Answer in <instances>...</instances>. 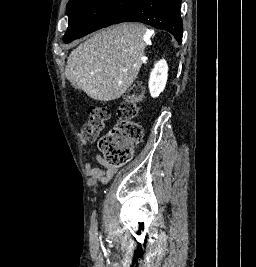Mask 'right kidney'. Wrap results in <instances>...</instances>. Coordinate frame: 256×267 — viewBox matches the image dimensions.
I'll use <instances>...</instances> for the list:
<instances>
[{
  "instance_id": "ca27d5eb",
  "label": "right kidney",
  "mask_w": 256,
  "mask_h": 267,
  "mask_svg": "<svg viewBox=\"0 0 256 267\" xmlns=\"http://www.w3.org/2000/svg\"><path fill=\"white\" fill-rule=\"evenodd\" d=\"M168 78V66L166 60H160L155 64L149 80V92L152 98H158L163 92Z\"/></svg>"
}]
</instances>
